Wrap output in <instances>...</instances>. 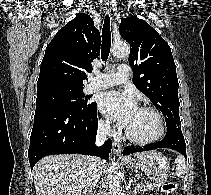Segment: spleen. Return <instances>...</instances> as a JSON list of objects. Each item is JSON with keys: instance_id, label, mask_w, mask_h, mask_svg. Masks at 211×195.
<instances>
[{"instance_id": "spleen-1", "label": "spleen", "mask_w": 211, "mask_h": 195, "mask_svg": "<svg viewBox=\"0 0 211 195\" xmlns=\"http://www.w3.org/2000/svg\"><path fill=\"white\" fill-rule=\"evenodd\" d=\"M176 163V175L178 177H183L186 172V162L183 156L179 155L175 159Z\"/></svg>"}]
</instances>
